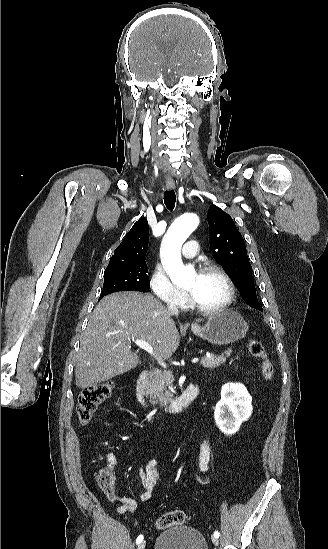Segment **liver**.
<instances>
[{"mask_svg":"<svg viewBox=\"0 0 328 549\" xmlns=\"http://www.w3.org/2000/svg\"><path fill=\"white\" fill-rule=\"evenodd\" d=\"M146 341L162 361L179 347L180 335L166 307L153 295L113 293L96 305L81 339L75 369L78 389L94 387L141 365L131 341Z\"/></svg>","mask_w":328,"mask_h":549,"instance_id":"6515ba94","label":"liver"}]
</instances>
